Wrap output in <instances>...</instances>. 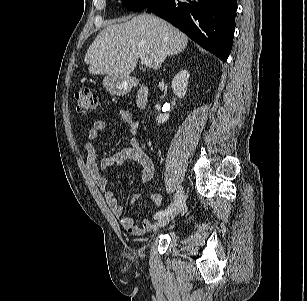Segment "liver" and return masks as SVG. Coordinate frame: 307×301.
Segmentation results:
<instances>
[{"label":"liver","instance_id":"liver-1","mask_svg":"<svg viewBox=\"0 0 307 301\" xmlns=\"http://www.w3.org/2000/svg\"><path fill=\"white\" fill-rule=\"evenodd\" d=\"M187 43V36L171 24L141 14L104 28L89 46L84 61L91 74L127 77L140 55L151 57L153 69L158 70L167 56L182 52Z\"/></svg>","mask_w":307,"mask_h":301}]
</instances>
